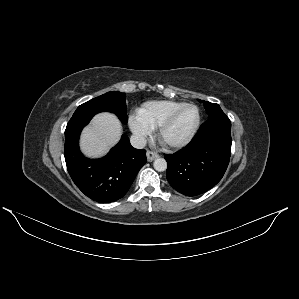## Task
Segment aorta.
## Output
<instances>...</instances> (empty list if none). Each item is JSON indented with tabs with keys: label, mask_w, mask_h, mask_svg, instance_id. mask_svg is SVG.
<instances>
[{
	"label": "aorta",
	"mask_w": 299,
	"mask_h": 299,
	"mask_svg": "<svg viewBox=\"0 0 299 299\" xmlns=\"http://www.w3.org/2000/svg\"><path fill=\"white\" fill-rule=\"evenodd\" d=\"M153 166L156 171L162 172L167 169V162L163 158H158L154 161Z\"/></svg>",
	"instance_id": "obj_1"
}]
</instances>
